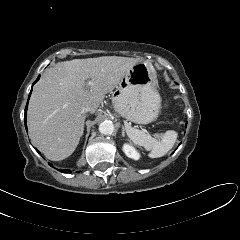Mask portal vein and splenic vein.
<instances>
[{
    "label": "portal vein and splenic vein",
    "mask_w": 240,
    "mask_h": 240,
    "mask_svg": "<svg viewBox=\"0 0 240 240\" xmlns=\"http://www.w3.org/2000/svg\"><path fill=\"white\" fill-rule=\"evenodd\" d=\"M89 85H91L92 84V82L91 81H89V83H88Z\"/></svg>",
    "instance_id": "portal-vein-and-splenic-vein-1"
}]
</instances>
